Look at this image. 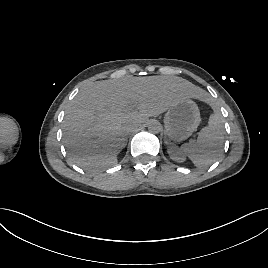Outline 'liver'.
Listing matches in <instances>:
<instances>
[{
	"mask_svg": "<svg viewBox=\"0 0 268 268\" xmlns=\"http://www.w3.org/2000/svg\"><path fill=\"white\" fill-rule=\"evenodd\" d=\"M202 97L180 77L125 76L83 87L70 102L63 141L71 160L85 170L111 167L126 145V127L139 126L186 98Z\"/></svg>",
	"mask_w": 268,
	"mask_h": 268,
	"instance_id": "obj_1",
	"label": "liver"
}]
</instances>
